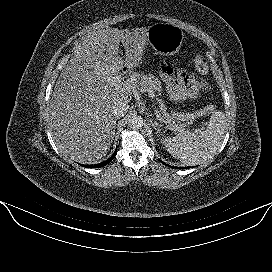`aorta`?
<instances>
[{"label":"aorta","instance_id":"obj_1","mask_svg":"<svg viewBox=\"0 0 272 272\" xmlns=\"http://www.w3.org/2000/svg\"><path fill=\"white\" fill-rule=\"evenodd\" d=\"M131 129H139L143 126V118L139 115H132L128 120Z\"/></svg>","mask_w":272,"mask_h":272}]
</instances>
